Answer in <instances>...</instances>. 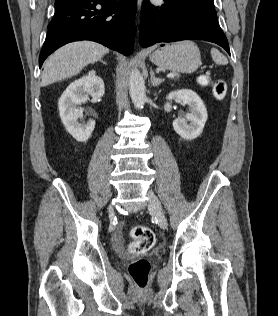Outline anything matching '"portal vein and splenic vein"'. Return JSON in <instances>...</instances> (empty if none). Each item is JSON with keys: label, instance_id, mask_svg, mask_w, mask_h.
I'll return each instance as SVG.
<instances>
[{"label": "portal vein and splenic vein", "instance_id": "portal-vein-and-splenic-vein-1", "mask_svg": "<svg viewBox=\"0 0 278 316\" xmlns=\"http://www.w3.org/2000/svg\"><path fill=\"white\" fill-rule=\"evenodd\" d=\"M175 76H176L175 73H169V74L167 75V78L172 79V78H174Z\"/></svg>", "mask_w": 278, "mask_h": 316}]
</instances>
